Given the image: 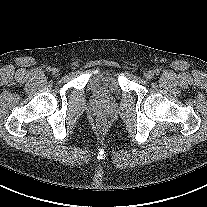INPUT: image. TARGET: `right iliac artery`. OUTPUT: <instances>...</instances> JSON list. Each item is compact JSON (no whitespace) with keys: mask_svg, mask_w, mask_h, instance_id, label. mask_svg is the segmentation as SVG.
Returning a JSON list of instances; mask_svg holds the SVG:
<instances>
[{"mask_svg":"<svg viewBox=\"0 0 207 207\" xmlns=\"http://www.w3.org/2000/svg\"><path fill=\"white\" fill-rule=\"evenodd\" d=\"M46 70H47L48 72H50V71L52 70V68H51V67H47Z\"/></svg>","mask_w":207,"mask_h":207,"instance_id":"1","label":"right iliac artery"}]
</instances>
